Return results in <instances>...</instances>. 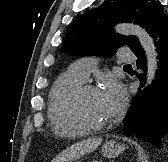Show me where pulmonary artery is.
<instances>
[{
    "label": "pulmonary artery",
    "instance_id": "obj_1",
    "mask_svg": "<svg viewBox=\"0 0 168 162\" xmlns=\"http://www.w3.org/2000/svg\"><path fill=\"white\" fill-rule=\"evenodd\" d=\"M120 62H132L134 61V56L126 51H121L119 53ZM98 59L96 57H84L75 61L70 69L79 79L83 82L87 80L90 72L97 66Z\"/></svg>",
    "mask_w": 168,
    "mask_h": 162
}]
</instances>
